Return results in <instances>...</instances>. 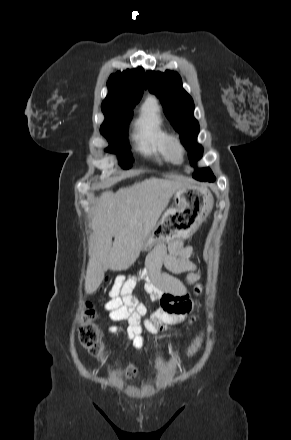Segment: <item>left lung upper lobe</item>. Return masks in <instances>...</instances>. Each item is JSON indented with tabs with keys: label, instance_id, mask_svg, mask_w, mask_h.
<instances>
[{
	"label": "left lung upper lobe",
	"instance_id": "1",
	"mask_svg": "<svg viewBox=\"0 0 291 440\" xmlns=\"http://www.w3.org/2000/svg\"><path fill=\"white\" fill-rule=\"evenodd\" d=\"M146 88L161 101L166 117L174 129L180 133L181 142L189 151L192 165L202 157L203 148L197 143L199 124L194 118V103L190 95L182 88V80L177 72L148 71L145 76ZM193 177L205 181L214 177L209 168L197 169Z\"/></svg>",
	"mask_w": 291,
	"mask_h": 440
}]
</instances>
